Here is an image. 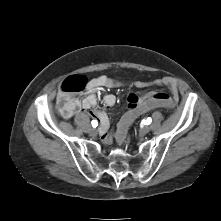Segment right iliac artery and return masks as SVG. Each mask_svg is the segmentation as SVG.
I'll use <instances>...</instances> for the list:
<instances>
[{"instance_id":"right-iliac-artery-1","label":"right iliac artery","mask_w":221,"mask_h":221,"mask_svg":"<svg viewBox=\"0 0 221 221\" xmlns=\"http://www.w3.org/2000/svg\"><path fill=\"white\" fill-rule=\"evenodd\" d=\"M91 124L94 128L98 126L97 120H92Z\"/></svg>"}]
</instances>
